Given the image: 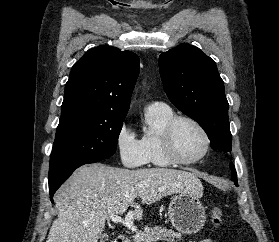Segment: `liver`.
Here are the masks:
<instances>
[{
	"label": "liver",
	"mask_w": 279,
	"mask_h": 242,
	"mask_svg": "<svg viewBox=\"0 0 279 242\" xmlns=\"http://www.w3.org/2000/svg\"><path fill=\"white\" fill-rule=\"evenodd\" d=\"M202 191L201 181L187 171L85 165L56 192L58 218L46 242H98L110 214H122L131 206L135 219H142L137 197L152 204L174 193L189 192L200 197Z\"/></svg>",
	"instance_id": "liver-1"
}]
</instances>
